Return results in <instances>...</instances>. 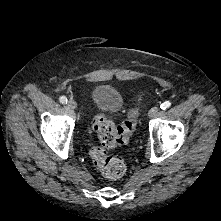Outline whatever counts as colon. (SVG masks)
Wrapping results in <instances>:
<instances>
[{
    "instance_id": "colon-1",
    "label": "colon",
    "mask_w": 221,
    "mask_h": 221,
    "mask_svg": "<svg viewBox=\"0 0 221 221\" xmlns=\"http://www.w3.org/2000/svg\"><path fill=\"white\" fill-rule=\"evenodd\" d=\"M137 115L136 108L128 109L126 118L118 126L103 115L95 116L92 121V127L98 134L102 147L92 149L90 156L94 165L108 179L122 177L126 165L121 158L110 156L106 149L126 145L129 142L135 130Z\"/></svg>"
}]
</instances>
